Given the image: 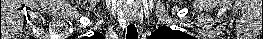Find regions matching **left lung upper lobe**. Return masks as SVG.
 Here are the masks:
<instances>
[{"instance_id": "left-lung-upper-lobe-1", "label": "left lung upper lobe", "mask_w": 263, "mask_h": 39, "mask_svg": "<svg viewBox=\"0 0 263 39\" xmlns=\"http://www.w3.org/2000/svg\"><path fill=\"white\" fill-rule=\"evenodd\" d=\"M192 38L190 35L181 32L172 30L169 27H160L156 31H154L150 39H190Z\"/></svg>"}]
</instances>
